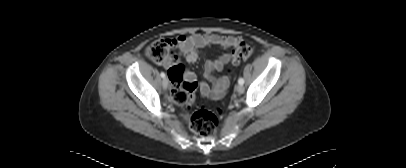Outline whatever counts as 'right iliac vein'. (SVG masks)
I'll return each mask as SVG.
<instances>
[{
    "mask_svg": "<svg viewBox=\"0 0 406 168\" xmlns=\"http://www.w3.org/2000/svg\"><path fill=\"white\" fill-rule=\"evenodd\" d=\"M162 86H163L164 89H167V88H168V78H167V77H164V78H163V80H162Z\"/></svg>",
    "mask_w": 406,
    "mask_h": 168,
    "instance_id": "1",
    "label": "right iliac vein"
}]
</instances>
